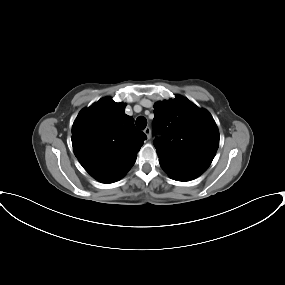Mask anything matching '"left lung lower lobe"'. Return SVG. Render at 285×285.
Wrapping results in <instances>:
<instances>
[{
  "instance_id": "left-lung-lower-lobe-1",
  "label": "left lung lower lobe",
  "mask_w": 285,
  "mask_h": 285,
  "mask_svg": "<svg viewBox=\"0 0 285 285\" xmlns=\"http://www.w3.org/2000/svg\"><path fill=\"white\" fill-rule=\"evenodd\" d=\"M159 163L162 169L177 181H190L203 173L201 170L173 163L163 157H159Z\"/></svg>"
}]
</instances>
